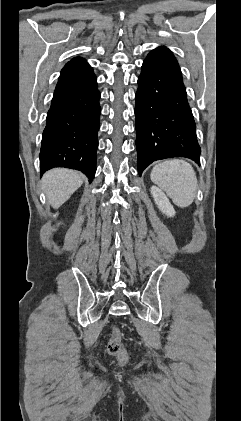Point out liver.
<instances>
[{"label": "liver", "mask_w": 241, "mask_h": 421, "mask_svg": "<svg viewBox=\"0 0 241 421\" xmlns=\"http://www.w3.org/2000/svg\"><path fill=\"white\" fill-rule=\"evenodd\" d=\"M83 181L84 176L79 172L56 168L43 175L42 188L48 203L56 209L71 197Z\"/></svg>", "instance_id": "obj_1"}]
</instances>
